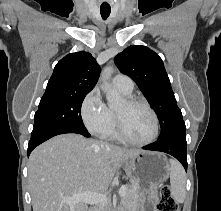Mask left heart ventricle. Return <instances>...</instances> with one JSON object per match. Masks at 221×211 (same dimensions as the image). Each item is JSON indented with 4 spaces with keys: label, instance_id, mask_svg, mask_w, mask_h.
<instances>
[{
    "label": "left heart ventricle",
    "instance_id": "obj_1",
    "mask_svg": "<svg viewBox=\"0 0 221 211\" xmlns=\"http://www.w3.org/2000/svg\"><path fill=\"white\" fill-rule=\"evenodd\" d=\"M125 131L133 140L146 141L154 131V122L150 112L143 106L128 105L124 100L117 108Z\"/></svg>",
    "mask_w": 221,
    "mask_h": 211
}]
</instances>
